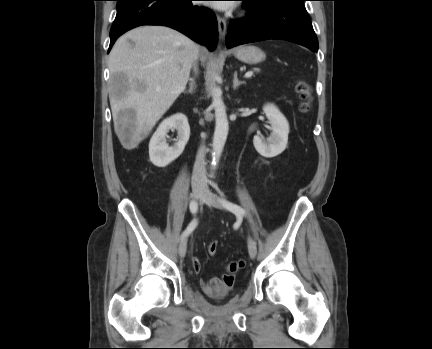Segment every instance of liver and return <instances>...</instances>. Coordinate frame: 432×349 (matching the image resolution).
Returning a JSON list of instances; mask_svg holds the SVG:
<instances>
[{
	"mask_svg": "<svg viewBox=\"0 0 432 349\" xmlns=\"http://www.w3.org/2000/svg\"><path fill=\"white\" fill-rule=\"evenodd\" d=\"M196 50L204 62L205 47L164 26L137 27L116 41L109 55V100L123 148H136L184 91ZM121 111L131 116L120 117Z\"/></svg>",
	"mask_w": 432,
	"mask_h": 349,
	"instance_id": "liver-1",
	"label": "liver"
}]
</instances>
